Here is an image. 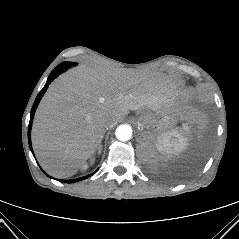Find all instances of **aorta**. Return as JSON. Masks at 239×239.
Instances as JSON below:
<instances>
[{
  "mask_svg": "<svg viewBox=\"0 0 239 239\" xmlns=\"http://www.w3.org/2000/svg\"><path fill=\"white\" fill-rule=\"evenodd\" d=\"M115 136L120 141H128L132 137V128L130 125L123 124L117 127Z\"/></svg>",
  "mask_w": 239,
  "mask_h": 239,
  "instance_id": "762f6f07",
  "label": "aorta"
}]
</instances>
